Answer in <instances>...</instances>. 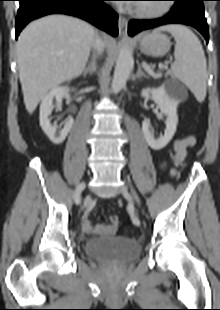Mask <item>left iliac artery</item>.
<instances>
[{
    "mask_svg": "<svg viewBox=\"0 0 220 310\" xmlns=\"http://www.w3.org/2000/svg\"><path fill=\"white\" fill-rule=\"evenodd\" d=\"M127 211L131 217V220L133 222L134 225L136 226H140L141 222L138 218V216L136 215V212H135V209H134V206L132 204H128L127 205Z\"/></svg>",
    "mask_w": 220,
    "mask_h": 310,
    "instance_id": "44dca946",
    "label": "left iliac artery"
}]
</instances>
